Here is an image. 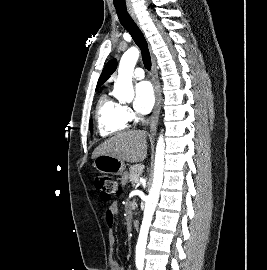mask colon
Masks as SVG:
<instances>
[{
    "instance_id": "5ec220e1",
    "label": "colon",
    "mask_w": 267,
    "mask_h": 270,
    "mask_svg": "<svg viewBox=\"0 0 267 270\" xmlns=\"http://www.w3.org/2000/svg\"><path fill=\"white\" fill-rule=\"evenodd\" d=\"M94 185L99 193V197L103 202L110 201L121 191V184L106 174H99L94 179Z\"/></svg>"
}]
</instances>
